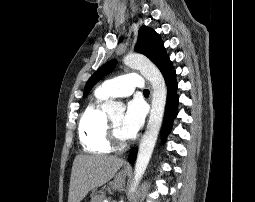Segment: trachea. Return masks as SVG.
Instances as JSON below:
<instances>
[{
	"label": "trachea",
	"mask_w": 255,
	"mask_h": 202,
	"mask_svg": "<svg viewBox=\"0 0 255 202\" xmlns=\"http://www.w3.org/2000/svg\"><path fill=\"white\" fill-rule=\"evenodd\" d=\"M143 93H144L145 95H148V94H149V90L145 89V90L143 91Z\"/></svg>",
	"instance_id": "1"
}]
</instances>
